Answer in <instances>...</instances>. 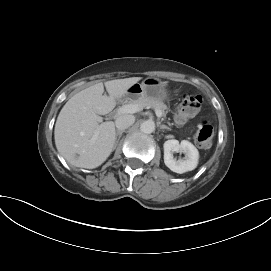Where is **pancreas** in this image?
I'll list each match as a JSON object with an SVG mask.
<instances>
[{"instance_id":"pancreas-1","label":"pancreas","mask_w":271,"mask_h":271,"mask_svg":"<svg viewBox=\"0 0 271 271\" xmlns=\"http://www.w3.org/2000/svg\"><path fill=\"white\" fill-rule=\"evenodd\" d=\"M127 102L130 104H137L141 108L149 107L155 110H160L163 115L165 114V110L167 109V106L162 101L148 97H140L135 100H128Z\"/></svg>"}]
</instances>
